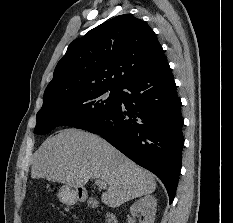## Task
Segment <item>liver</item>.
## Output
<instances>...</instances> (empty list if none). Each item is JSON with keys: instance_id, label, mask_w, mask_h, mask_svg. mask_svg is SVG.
I'll return each instance as SVG.
<instances>
[{"instance_id": "obj_1", "label": "liver", "mask_w": 233, "mask_h": 223, "mask_svg": "<svg viewBox=\"0 0 233 223\" xmlns=\"http://www.w3.org/2000/svg\"><path fill=\"white\" fill-rule=\"evenodd\" d=\"M31 177L84 187L92 177L104 179L101 195L108 207L149 195L156 189L153 173L136 165L108 141L81 129H61L43 141L32 157Z\"/></svg>"}]
</instances>
